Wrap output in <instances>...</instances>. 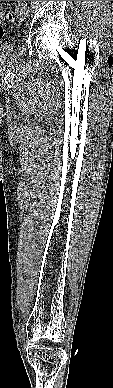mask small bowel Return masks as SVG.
I'll return each mask as SVG.
<instances>
[{
  "label": "small bowel",
  "mask_w": 113,
  "mask_h": 388,
  "mask_svg": "<svg viewBox=\"0 0 113 388\" xmlns=\"http://www.w3.org/2000/svg\"><path fill=\"white\" fill-rule=\"evenodd\" d=\"M0 16L2 17V9H1V6H0Z\"/></svg>",
  "instance_id": "c3829d8e"
}]
</instances>
